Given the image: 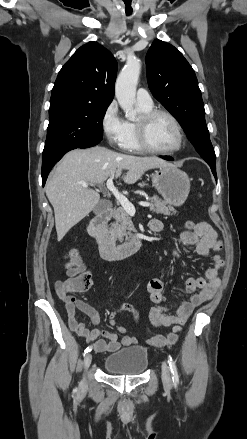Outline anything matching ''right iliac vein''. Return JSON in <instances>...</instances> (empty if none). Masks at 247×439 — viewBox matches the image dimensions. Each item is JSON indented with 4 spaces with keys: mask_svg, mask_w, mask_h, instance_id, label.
Returning a JSON list of instances; mask_svg holds the SVG:
<instances>
[{
    "mask_svg": "<svg viewBox=\"0 0 247 439\" xmlns=\"http://www.w3.org/2000/svg\"><path fill=\"white\" fill-rule=\"evenodd\" d=\"M91 362H92V354L91 353H87V355L85 356V359H84V368H85V370H87L89 368Z\"/></svg>",
    "mask_w": 247,
    "mask_h": 439,
    "instance_id": "obj_1",
    "label": "right iliac vein"
}]
</instances>
